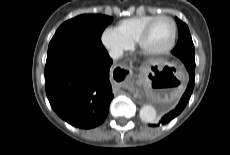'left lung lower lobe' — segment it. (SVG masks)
Wrapping results in <instances>:
<instances>
[{
	"label": "left lung lower lobe",
	"instance_id": "left-lung-lower-lobe-1",
	"mask_svg": "<svg viewBox=\"0 0 230 155\" xmlns=\"http://www.w3.org/2000/svg\"><path fill=\"white\" fill-rule=\"evenodd\" d=\"M181 61L185 64L186 69L189 73V83L187 85V88L185 90V93L183 94L181 100L179 101L178 105L171 110L169 113L165 114L161 120L159 121L158 124H154L151 126H157L160 124H166L168 122H170L173 118H175L177 115H179L182 110L185 108V106L187 105L190 96L192 94L193 88H194V83H195V56L193 59V55L192 57H188L186 54H181Z\"/></svg>",
	"mask_w": 230,
	"mask_h": 155
}]
</instances>
